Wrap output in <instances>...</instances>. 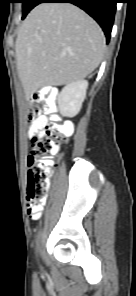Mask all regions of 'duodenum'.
I'll return each mask as SVG.
<instances>
[{
  "label": "duodenum",
  "instance_id": "obj_1",
  "mask_svg": "<svg viewBox=\"0 0 136 296\" xmlns=\"http://www.w3.org/2000/svg\"><path fill=\"white\" fill-rule=\"evenodd\" d=\"M43 94V92L39 93V95Z\"/></svg>",
  "mask_w": 136,
  "mask_h": 296
}]
</instances>
